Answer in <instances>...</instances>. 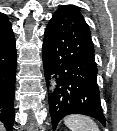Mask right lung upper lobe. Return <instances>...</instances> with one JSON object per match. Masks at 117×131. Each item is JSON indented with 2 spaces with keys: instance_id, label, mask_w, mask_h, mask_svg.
Wrapping results in <instances>:
<instances>
[{
  "instance_id": "obj_1",
  "label": "right lung upper lobe",
  "mask_w": 117,
  "mask_h": 131,
  "mask_svg": "<svg viewBox=\"0 0 117 131\" xmlns=\"http://www.w3.org/2000/svg\"><path fill=\"white\" fill-rule=\"evenodd\" d=\"M11 24L9 22L8 17L3 14L0 13V31H3L5 28L9 27Z\"/></svg>"
}]
</instances>
